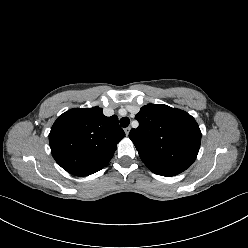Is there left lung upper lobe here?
I'll use <instances>...</instances> for the list:
<instances>
[{
    "label": "left lung upper lobe",
    "mask_w": 248,
    "mask_h": 248,
    "mask_svg": "<svg viewBox=\"0 0 248 248\" xmlns=\"http://www.w3.org/2000/svg\"><path fill=\"white\" fill-rule=\"evenodd\" d=\"M135 119L139 126L129 138L140 158L155 174L174 176L186 170L196 159L201 131L187 112L164 104L143 106Z\"/></svg>",
    "instance_id": "5c2ea615"
}]
</instances>
